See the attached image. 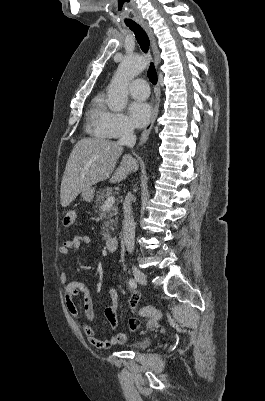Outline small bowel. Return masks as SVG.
<instances>
[{"label": "small bowel", "instance_id": "c3829d8e", "mask_svg": "<svg viewBox=\"0 0 265 401\" xmlns=\"http://www.w3.org/2000/svg\"><path fill=\"white\" fill-rule=\"evenodd\" d=\"M90 242L91 238L88 235L74 234L61 244V246L59 247V252L62 255H68L70 252L78 251L81 245H86ZM60 280L63 285L66 308L74 319L80 321L81 329L84 333V336L91 345L98 349L105 350L111 348L114 345L123 344L126 341L127 337L123 332H117L106 340H101L97 338L93 328L89 324V322H91L95 317V311L93 301L87 286L83 282L68 281V277L65 272L60 274ZM108 293L111 298V304L105 309L104 315L111 327L116 328L118 324L117 315L119 310L118 292L114 287H109ZM80 294H83V311L87 321H83L81 319L79 310L74 303V298ZM139 296L140 294L138 292H134L131 296L129 303L132 310L136 308Z\"/></svg>", "mask_w": 265, "mask_h": 401}]
</instances>
